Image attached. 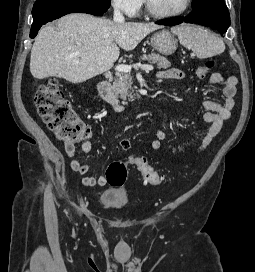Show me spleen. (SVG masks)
<instances>
[{
    "label": "spleen",
    "instance_id": "1",
    "mask_svg": "<svg viewBox=\"0 0 255 272\" xmlns=\"http://www.w3.org/2000/svg\"><path fill=\"white\" fill-rule=\"evenodd\" d=\"M179 42L196 53L198 58H207L224 52L225 44L221 38L199 26L182 24L172 28Z\"/></svg>",
    "mask_w": 255,
    "mask_h": 272
}]
</instances>
